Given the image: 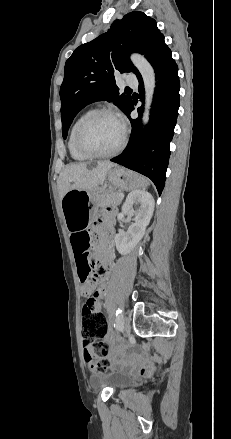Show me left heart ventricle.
<instances>
[{
	"mask_svg": "<svg viewBox=\"0 0 231 439\" xmlns=\"http://www.w3.org/2000/svg\"><path fill=\"white\" fill-rule=\"evenodd\" d=\"M122 126L114 118L102 116L91 122L83 133L84 144L97 153H107L118 146Z\"/></svg>",
	"mask_w": 231,
	"mask_h": 439,
	"instance_id": "left-heart-ventricle-1",
	"label": "left heart ventricle"
}]
</instances>
